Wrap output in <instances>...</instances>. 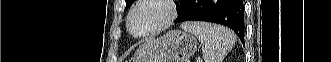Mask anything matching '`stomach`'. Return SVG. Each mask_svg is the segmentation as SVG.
Listing matches in <instances>:
<instances>
[{"mask_svg":"<svg viewBox=\"0 0 331 62\" xmlns=\"http://www.w3.org/2000/svg\"><path fill=\"white\" fill-rule=\"evenodd\" d=\"M197 39L189 33L174 30L141 45L135 62H186L197 50Z\"/></svg>","mask_w":331,"mask_h":62,"instance_id":"stomach-1","label":"stomach"}]
</instances>
